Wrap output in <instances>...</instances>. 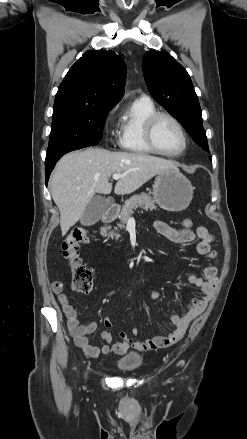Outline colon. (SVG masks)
Listing matches in <instances>:
<instances>
[{
	"instance_id": "5ec220e1",
	"label": "colon",
	"mask_w": 247,
	"mask_h": 439,
	"mask_svg": "<svg viewBox=\"0 0 247 439\" xmlns=\"http://www.w3.org/2000/svg\"><path fill=\"white\" fill-rule=\"evenodd\" d=\"M183 225L189 228L193 223L190 219H185ZM86 240V231L82 228H74L61 243L62 256L72 277L73 288L80 293H88L93 287V273L79 255V248Z\"/></svg>"
}]
</instances>
